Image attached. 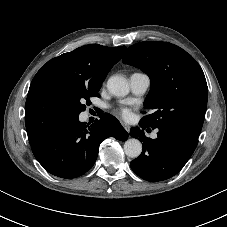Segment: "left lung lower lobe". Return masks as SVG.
<instances>
[{
    "label": "left lung lower lobe",
    "instance_id": "0a47b994",
    "mask_svg": "<svg viewBox=\"0 0 227 227\" xmlns=\"http://www.w3.org/2000/svg\"><path fill=\"white\" fill-rule=\"evenodd\" d=\"M142 129L147 128L140 121ZM158 137L150 139L144 131L132 127L130 135L141 141L143 151L140 156L131 161L132 170L141 178L151 181H163L176 175L189 160L197 144L195 137L183 130L170 126L158 128Z\"/></svg>",
    "mask_w": 227,
    "mask_h": 227
}]
</instances>
